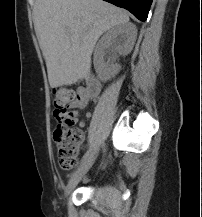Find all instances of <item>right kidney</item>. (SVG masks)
Wrapping results in <instances>:
<instances>
[{"instance_id": "right-kidney-1", "label": "right kidney", "mask_w": 202, "mask_h": 217, "mask_svg": "<svg viewBox=\"0 0 202 217\" xmlns=\"http://www.w3.org/2000/svg\"><path fill=\"white\" fill-rule=\"evenodd\" d=\"M137 37L136 26L132 23L117 25L107 31L96 45L94 52V67L98 78L106 82L117 75L121 66L117 63L105 62V50L113 48L114 53L127 55L133 49Z\"/></svg>"}]
</instances>
